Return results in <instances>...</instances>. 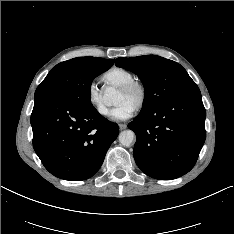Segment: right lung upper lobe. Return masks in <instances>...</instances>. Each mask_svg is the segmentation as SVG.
Returning a JSON list of instances; mask_svg holds the SVG:
<instances>
[{
  "label": "right lung upper lobe",
  "instance_id": "cb5924a9",
  "mask_svg": "<svg viewBox=\"0 0 234 234\" xmlns=\"http://www.w3.org/2000/svg\"><path fill=\"white\" fill-rule=\"evenodd\" d=\"M82 60L92 64V65H109L112 66L115 60H108L99 57H81Z\"/></svg>",
  "mask_w": 234,
  "mask_h": 234
}]
</instances>
